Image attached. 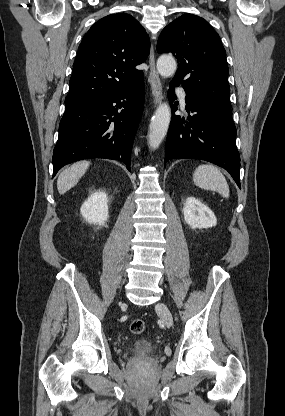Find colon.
I'll return each instance as SVG.
<instances>
[{
    "mask_svg": "<svg viewBox=\"0 0 285 416\" xmlns=\"http://www.w3.org/2000/svg\"><path fill=\"white\" fill-rule=\"evenodd\" d=\"M145 330V323L141 319H135L130 324V331L133 334H142Z\"/></svg>",
    "mask_w": 285,
    "mask_h": 416,
    "instance_id": "obj_1",
    "label": "colon"
}]
</instances>
